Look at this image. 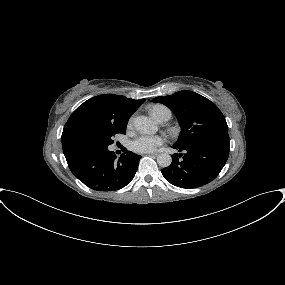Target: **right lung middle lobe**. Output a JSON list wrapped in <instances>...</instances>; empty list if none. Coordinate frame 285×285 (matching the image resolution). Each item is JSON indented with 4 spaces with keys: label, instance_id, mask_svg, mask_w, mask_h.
Returning <instances> with one entry per match:
<instances>
[{
    "label": "right lung middle lobe",
    "instance_id": "obj_1",
    "mask_svg": "<svg viewBox=\"0 0 285 285\" xmlns=\"http://www.w3.org/2000/svg\"><path fill=\"white\" fill-rule=\"evenodd\" d=\"M117 133L125 134L126 133V125L108 128L95 141H93L89 146H97V147L107 148L110 144H112L114 142L112 140V137Z\"/></svg>",
    "mask_w": 285,
    "mask_h": 285
}]
</instances>
